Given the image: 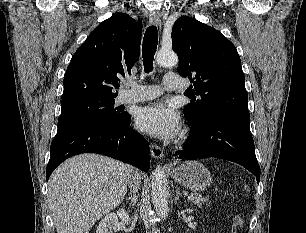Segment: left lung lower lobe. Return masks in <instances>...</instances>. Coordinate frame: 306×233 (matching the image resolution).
Returning <instances> with one entry per match:
<instances>
[{"label": "left lung lower lobe", "mask_w": 306, "mask_h": 233, "mask_svg": "<svg viewBox=\"0 0 306 233\" xmlns=\"http://www.w3.org/2000/svg\"><path fill=\"white\" fill-rule=\"evenodd\" d=\"M249 116L220 114L191 125L190 137L178 159L215 157L238 163L254 174L259 183L254 141L249 130Z\"/></svg>", "instance_id": "1"}]
</instances>
